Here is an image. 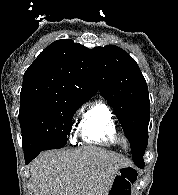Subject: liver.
<instances>
[{"mask_svg":"<svg viewBox=\"0 0 178 195\" xmlns=\"http://www.w3.org/2000/svg\"><path fill=\"white\" fill-rule=\"evenodd\" d=\"M129 161L95 146L41 153L30 165L35 195H108Z\"/></svg>","mask_w":178,"mask_h":195,"instance_id":"6515ba94","label":"liver"}]
</instances>
